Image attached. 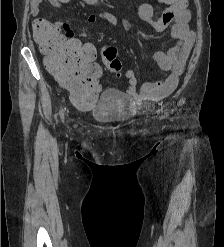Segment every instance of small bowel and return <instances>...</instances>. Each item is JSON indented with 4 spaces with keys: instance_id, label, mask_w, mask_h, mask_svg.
<instances>
[{
    "instance_id": "c3829d8e",
    "label": "small bowel",
    "mask_w": 224,
    "mask_h": 247,
    "mask_svg": "<svg viewBox=\"0 0 224 247\" xmlns=\"http://www.w3.org/2000/svg\"><path fill=\"white\" fill-rule=\"evenodd\" d=\"M32 14L39 16L41 6L44 3H49L54 8H60L62 4L70 0H31ZM92 2L94 0H85ZM167 8L162 12L160 17H156L155 10L150 4H142L136 11V16L150 24L157 32L164 31L167 27H171V36L176 40V44L169 49L167 53L155 51L152 54L153 60L163 69L169 71V75L163 81L156 83H145L137 90V79L133 70L125 72L127 79V94L136 101L142 100H159L174 91L177 87L179 78L186 65L188 57L191 53L195 35L189 27L191 13L187 9L186 0H163ZM97 18L107 20L115 27H120L118 19L107 11H99L92 13L88 17V21L93 23ZM41 19V18H40ZM51 23V22H50ZM53 27L66 29V37L73 41H78L75 38L74 32L70 30L69 24L65 21L51 23Z\"/></svg>"
}]
</instances>
